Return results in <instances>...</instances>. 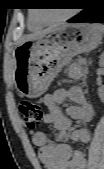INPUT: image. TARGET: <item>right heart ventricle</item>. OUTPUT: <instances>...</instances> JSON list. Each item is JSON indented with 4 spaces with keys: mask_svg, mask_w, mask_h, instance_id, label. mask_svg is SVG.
<instances>
[{
    "mask_svg": "<svg viewBox=\"0 0 104 169\" xmlns=\"http://www.w3.org/2000/svg\"><path fill=\"white\" fill-rule=\"evenodd\" d=\"M43 27V24L40 23L33 14H30L28 19V28L31 31H37Z\"/></svg>",
    "mask_w": 104,
    "mask_h": 169,
    "instance_id": "obj_1",
    "label": "right heart ventricle"
}]
</instances>
